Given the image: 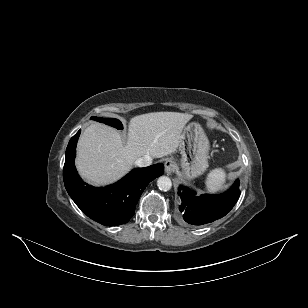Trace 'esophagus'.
Instances as JSON below:
<instances>
[{
    "mask_svg": "<svg viewBox=\"0 0 308 308\" xmlns=\"http://www.w3.org/2000/svg\"><path fill=\"white\" fill-rule=\"evenodd\" d=\"M164 165H165V172L168 175L172 174L176 168V163L172 159H168Z\"/></svg>",
    "mask_w": 308,
    "mask_h": 308,
    "instance_id": "esophagus-1",
    "label": "esophagus"
}]
</instances>
